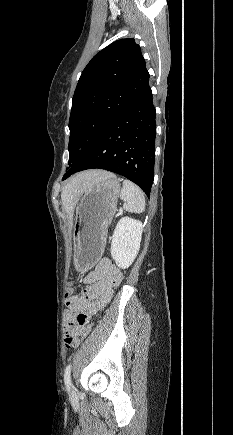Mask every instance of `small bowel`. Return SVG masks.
I'll return each mask as SVG.
<instances>
[{"label":"small bowel","instance_id":"obj_1","mask_svg":"<svg viewBox=\"0 0 233 435\" xmlns=\"http://www.w3.org/2000/svg\"><path fill=\"white\" fill-rule=\"evenodd\" d=\"M122 281L119 268L108 259H102L94 270L84 277L85 288L81 295L66 299L68 311L64 313L65 325H71L77 341L89 332L87 320L99 313L112 299L114 288Z\"/></svg>","mask_w":233,"mask_h":435}]
</instances>
